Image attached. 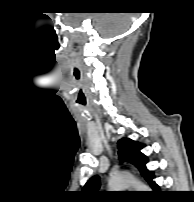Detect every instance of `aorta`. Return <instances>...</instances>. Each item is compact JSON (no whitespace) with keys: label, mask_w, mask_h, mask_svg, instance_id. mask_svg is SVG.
Listing matches in <instances>:
<instances>
[{"label":"aorta","mask_w":194,"mask_h":202,"mask_svg":"<svg viewBox=\"0 0 194 202\" xmlns=\"http://www.w3.org/2000/svg\"><path fill=\"white\" fill-rule=\"evenodd\" d=\"M108 185L112 191H123L130 186H134L137 191H149L147 185L134 180L129 175H114L110 178Z\"/></svg>","instance_id":"aorta-1"}]
</instances>
